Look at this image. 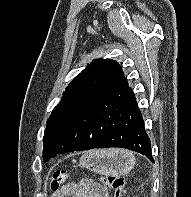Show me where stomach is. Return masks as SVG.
I'll return each mask as SVG.
<instances>
[{
  "mask_svg": "<svg viewBox=\"0 0 191 197\" xmlns=\"http://www.w3.org/2000/svg\"><path fill=\"white\" fill-rule=\"evenodd\" d=\"M79 165L97 174L124 176L134 166V161L120 150H91L84 153Z\"/></svg>",
  "mask_w": 191,
  "mask_h": 197,
  "instance_id": "stomach-1",
  "label": "stomach"
}]
</instances>
